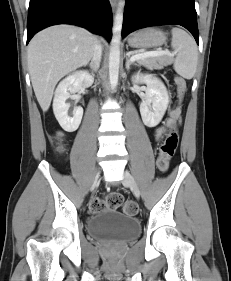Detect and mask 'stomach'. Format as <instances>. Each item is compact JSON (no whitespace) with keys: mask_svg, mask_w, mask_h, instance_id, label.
<instances>
[{"mask_svg":"<svg viewBox=\"0 0 231 281\" xmlns=\"http://www.w3.org/2000/svg\"><path fill=\"white\" fill-rule=\"evenodd\" d=\"M166 34L157 28H145L132 33L128 44L134 48L159 47L166 42Z\"/></svg>","mask_w":231,"mask_h":281,"instance_id":"obj_1","label":"stomach"}]
</instances>
